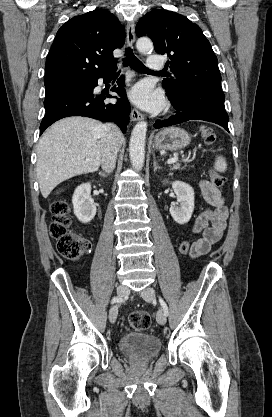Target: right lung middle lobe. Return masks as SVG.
Instances as JSON below:
<instances>
[{
	"label": "right lung middle lobe",
	"instance_id": "1",
	"mask_svg": "<svg viewBox=\"0 0 272 417\" xmlns=\"http://www.w3.org/2000/svg\"><path fill=\"white\" fill-rule=\"evenodd\" d=\"M69 86H72V85H65V86H61V87H57V88H49V89H46V97L49 96V95H51L52 93H54L57 90H60V89H63V88H67Z\"/></svg>",
	"mask_w": 272,
	"mask_h": 417
}]
</instances>
